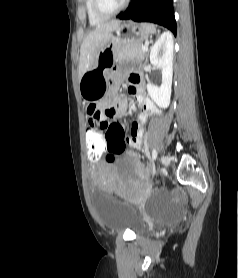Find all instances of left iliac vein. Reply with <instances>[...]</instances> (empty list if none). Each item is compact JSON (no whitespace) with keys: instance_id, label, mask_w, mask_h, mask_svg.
<instances>
[{"instance_id":"left-iliac-vein-1","label":"left iliac vein","mask_w":238,"mask_h":278,"mask_svg":"<svg viewBox=\"0 0 238 278\" xmlns=\"http://www.w3.org/2000/svg\"><path fill=\"white\" fill-rule=\"evenodd\" d=\"M161 160H162V164H163L164 166H168L169 163H170V158H169L168 156H166V155H163V156L161 157Z\"/></svg>"}]
</instances>
